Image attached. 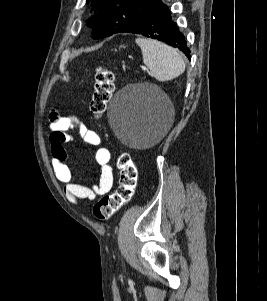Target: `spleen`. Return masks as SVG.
<instances>
[{"mask_svg":"<svg viewBox=\"0 0 267 301\" xmlns=\"http://www.w3.org/2000/svg\"><path fill=\"white\" fill-rule=\"evenodd\" d=\"M136 44L141 48L143 62L151 75L158 81H169L185 71V62L172 47L152 39L138 38Z\"/></svg>","mask_w":267,"mask_h":301,"instance_id":"obj_1","label":"spleen"}]
</instances>
